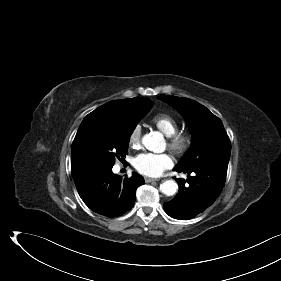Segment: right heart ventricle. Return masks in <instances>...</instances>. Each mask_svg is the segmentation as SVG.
<instances>
[{
    "instance_id": "right-heart-ventricle-1",
    "label": "right heart ventricle",
    "mask_w": 281,
    "mask_h": 281,
    "mask_svg": "<svg viewBox=\"0 0 281 281\" xmlns=\"http://www.w3.org/2000/svg\"><path fill=\"white\" fill-rule=\"evenodd\" d=\"M152 123L166 136L178 131L177 121L169 114L159 113L152 118Z\"/></svg>"
}]
</instances>
